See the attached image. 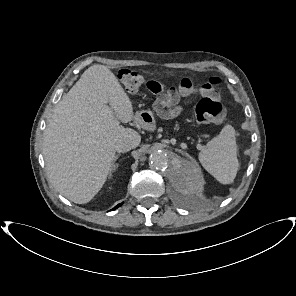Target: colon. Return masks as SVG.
Returning a JSON list of instances; mask_svg holds the SVG:
<instances>
[{
    "label": "colon",
    "instance_id": "colon-1",
    "mask_svg": "<svg viewBox=\"0 0 296 296\" xmlns=\"http://www.w3.org/2000/svg\"><path fill=\"white\" fill-rule=\"evenodd\" d=\"M118 76L125 89L130 91L137 90L144 82L142 73L137 70L121 69ZM178 88L185 92L192 89H207V85L192 78L183 77L178 80ZM195 115L200 124L206 125L220 121L224 115V108L216 98L203 97L195 106Z\"/></svg>",
    "mask_w": 296,
    "mask_h": 296
}]
</instances>
